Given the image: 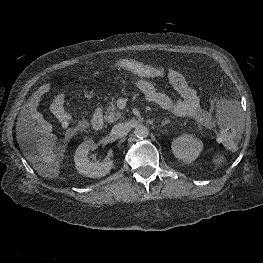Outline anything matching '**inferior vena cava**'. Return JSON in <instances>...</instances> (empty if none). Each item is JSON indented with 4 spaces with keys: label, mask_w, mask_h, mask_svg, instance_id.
<instances>
[{
    "label": "inferior vena cava",
    "mask_w": 263,
    "mask_h": 263,
    "mask_svg": "<svg viewBox=\"0 0 263 263\" xmlns=\"http://www.w3.org/2000/svg\"><path fill=\"white\" fill-rule=\"evenodd\" d=\"M129 132V127L126 123H117L116 125L113 126L111 130V134L115 138H122L126 136Z\"/></svg>",
    "instance_id": "602c4592"
}]
</instances>
